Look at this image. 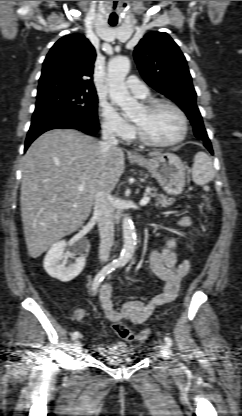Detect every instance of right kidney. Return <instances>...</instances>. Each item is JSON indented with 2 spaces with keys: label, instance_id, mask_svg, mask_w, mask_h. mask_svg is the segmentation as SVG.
<instances>
[{
  "label": "right kidney",
  "instance_id": "right-kidney-1",
  "mask_svg": "<svg viewBox=\"0 0 242 416\" xmlns=\"http://www.w3.org/2000/svg\"><path fill=\"white\" fill-rule=\"evenodd\" d=\"M65 247V240L53 244L43 262L46 272L51 277L62 282H68L77 277L83 270L86 262V258L83 255L77 258L74 257V253L64 255ZM70 259H73L74 262Z\"/></svg>",
  "mask_w": 242,
  "mask_h": 416
}]
</instances>
